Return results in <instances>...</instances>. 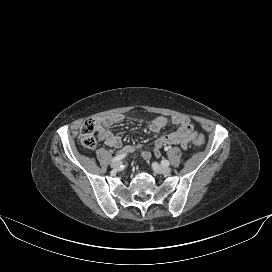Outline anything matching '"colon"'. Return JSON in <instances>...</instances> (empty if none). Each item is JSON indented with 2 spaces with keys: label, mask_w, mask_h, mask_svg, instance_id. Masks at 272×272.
<instances>
[{
  "label": "colon",
  "mask_w": 272,
  "mask_h": 272,
  "mask_svg": "<svg viewBox=\"0 0 272 272\" xmlns=\"http://www.w3.org/2000/svg\"><path fill=\"white\" fill-rule=\"evenodd\" d=\"M96 124L94 120L88 119L83 122L80 127L79 141L81 145L87 149H92L96 146L97 139L95 136ZM193 143L197 146H202L205 143L203 136L199 135L194 140Z\"/></svg>",
  "instance_id": "obj_1"
}]
</instances>
